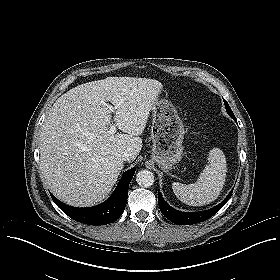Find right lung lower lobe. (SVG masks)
<instances>
[{
	"mask_svg": "<svg viewBox=\"0 0 280 280\" xmlns=\"http://www.w3.org/2000/svg\"><path fill=\"white\" fill-rule=\"evenodd\" d=\"M135 173V167L126 171L111 197L104 203L88 208L68 206L53 195L54 203L70 218L75 221L91 224L105 225L116 221L124 212L128 197L129 183Z\"/></svg>",
	"mask_w": 280,
	"mask_h": 280,
	"instance_id": "obj_1",
	"label": "right lung lower lobe"
}]
</instances>
